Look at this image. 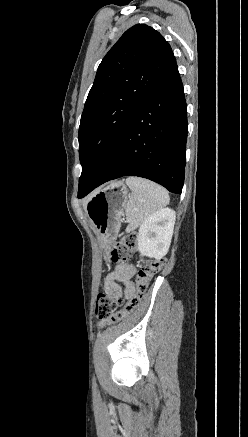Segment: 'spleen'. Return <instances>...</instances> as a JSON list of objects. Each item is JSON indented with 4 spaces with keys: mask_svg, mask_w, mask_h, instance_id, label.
Returning <instances> with one entry per match:
<instances>
[{
    "mask_svg": "<svg viewBox=\"0 0 248 437\" xmlns=\"http://www.w3.org/2000/svg\"><path fill=\"white\" fill-rule=\"evenodd\" d=\"M126 185L132 191L127 201L125 214L127 232L135 230L153 213L169 204L168 192L162 186L139 177H129Z\"/></svg>",
    "mask_w": 248,
    "mask_h": 437,
    "instance_id": "obj_1",
    "label": "spleen"
}]
</instances>
